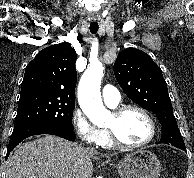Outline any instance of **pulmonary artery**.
Instances as JSON below:
<instances>
[{
    "label": "pulmonary artery",
    "mask_w": 194,
    "mask_h": 178,
    "mask_svg": "<svg viewBox=\"0 0 194 178\" xmlns=\"http://www.w3.org/2000/svg\"><path fill=\"white\" fill-rule=\"evenodd\" d=\"M102 97L104 102L111 106H117L121 101L119 91L112 85H105L102 89Z\"/></svg>",
    "instance_id": "e3ab8cb5"
}]
</instances>
